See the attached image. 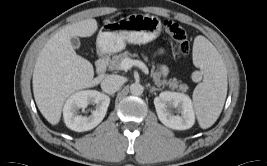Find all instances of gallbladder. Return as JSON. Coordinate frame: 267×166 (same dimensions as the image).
<instances>
[{
    "mask_svg": "<svg viewBox=\"0 0 267 166\" xmlns=\"http://www.w3.org/2000/svg\"><path fill=\"white\" fill-rule=\"evenodd\" d=\"M71 44L74 49H79L80 47V40L77 37H72L71 38Z\"/></svg>",
    "mask_w": 267,
    "mask_h": 166,
    "instance_id": "1",
    "label": "gallbladder"
}]
</instances>
